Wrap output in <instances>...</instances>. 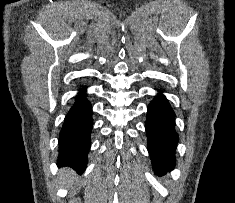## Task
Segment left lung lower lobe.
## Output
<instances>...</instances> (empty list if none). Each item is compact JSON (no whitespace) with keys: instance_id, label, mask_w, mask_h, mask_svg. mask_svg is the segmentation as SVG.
I'll return each mask as SVG.
<instances>
[{"instance_id":"1","label":"left lung lower lobe","mask_w":235,"mask_h":203,"mask_svg":"<svg viewBox=\"0 0 235 203\" xmlns=\"http://www.w3.org/2000/svg\"><path fill=\"white\" fill-rule=\"evenodd\" d=\"M175 113L161 94L148 105L146 132L148 151L157 174L173 170L178 134L175 131Z\"/></svg>"}]
</instances>
